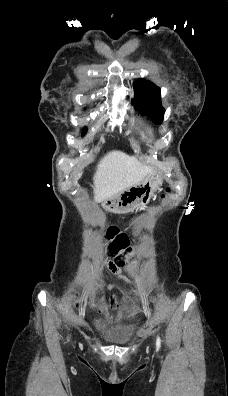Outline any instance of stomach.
Segmentation results:
<instances>
[{"label": "stomach", "mask_w": 228, "mask_h": 396, "mask_svg": "<svg viewBox=\"0 0 228 396\" xmlns=\"http://www.w3.org/2000/svg\"><path fill=\"white\" fill-rule=\"evenodd\" d=\"M161 184L162 178L158 174H150L142 182L103 200L102 207L116 214L128 213L144 207L150 202Z\"/></svg>", "instance_id": "obj_1"}]
</instances>
